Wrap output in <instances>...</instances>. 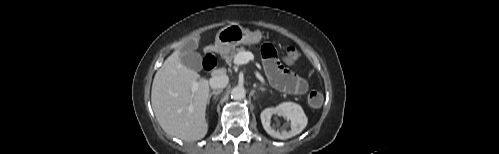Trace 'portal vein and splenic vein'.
<instances>
[{
    "label": "portal vein and splenic vein",
    "instance_id": "18ae733b",
    "mask_svg": "<svg viewBox=\"0 0 499 154\" xmlns=\"http://www.w3.org/2000/svg\"><path fill=\"white\" fill-rule=\"evenodd\" d=\"M253 54L251 52H239L238 54L235 55L234 57V63L236 65H242V64H247L250 60H253ZM261 81H264L262 76H258ZM198 85L194 83L192 85L191 90L194 92L197 90Z\"/></svg>",
    "mask_w": 499,
    "mask_h": 154
}]
</instances>
